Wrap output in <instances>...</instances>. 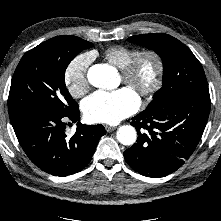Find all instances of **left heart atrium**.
Wrapping results in <instances>:
<instances>
[{"mask_svg": "<svg viewBox=\"0 0 221 221\" xmlns=\"http://www.w3.org/2000/svg\"><path fill=\"white\" fill-rule=\"evenodd\" d=\"M140 105L138 94L130 87L115 91H96L82 103L85 118L94 123L116 124L133 114Z\"/></svg>", "mask_w": 221, "mask_h": 221, "instance_id": "39dd6f15", "label": "left heart atrium"}]
</instances>
